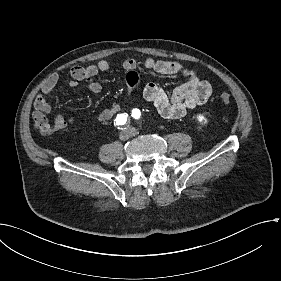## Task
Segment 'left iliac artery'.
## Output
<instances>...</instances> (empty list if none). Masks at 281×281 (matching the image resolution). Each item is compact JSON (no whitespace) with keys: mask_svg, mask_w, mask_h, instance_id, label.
I'll return each instance as SVG.
<instances>
[{"mask_svg":"<svg viewBox=\"0 0 281 281\" xmlns=\"http://www.w3.org/2000/svg\"><path fill=\"white\" fill-rule=\"evenodd\" d=\"M140 116H141L140 110L137 109V108L133 109V111H132V117H133L134 119H139Z\"/></svg>","mask_w":281,"mask_h":281,"instance_id":"obj_1","label":"left iliac artery"}]
</instances>
